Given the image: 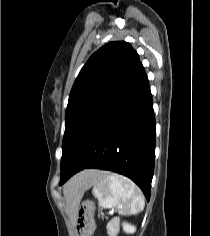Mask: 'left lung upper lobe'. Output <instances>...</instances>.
Instances as JSON below:
<instances>
[{"mask_svg":"<svg viewBox=\"0 0 210 236\" xmlns=\"http://www.w3.org/2000/svg\"><path fill=\"white\" fill-rule=\"evenodd\" d=\"M142 72L139 55L124 41L108 43L89 58L69 96L61 168L87 127Z\"/></svg>","mask_w":210,"mask_h":236,"instance_id":"1","label":"left lung upper lobe"}]
</instances>
